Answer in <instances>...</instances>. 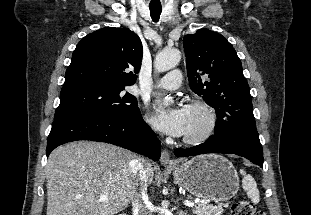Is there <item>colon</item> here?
<instances>
[{"mask_svg":"<svg viewBox=\"0 0 311 215\" xmlns=\"http://www.w3.org/2000/svg\"><path fill=\"white\" fill-rule=\"evenodd\" d=\"M232 215H266V213L256 210L252 202L243 200L232 205Z\"/></svg>","mask_w":311,"mask_h":215,"instance_id":"1","label":"colon"}]
</instances>
